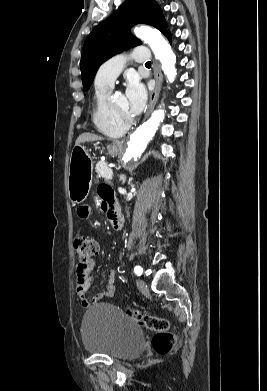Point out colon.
<instances>
[{
  "label": "colon",
  "mask_w": 267,
  "mask_h": 391,
  "mask_svg": "<svg viewBox=\"0 0 267 391\" xmlns=\"http://www.w3.org/2000/svg\"><path fill=\"white\" fill-rule=\"evenodd\" d=\"M74 250L77 255L78 268L87 271L98 254V242L91 237L80 236L74 240ZM127 316L135 320L140 326L153 333L152 345L159 354H167L174 347L177 336L169 330V321L152 314H143L138 310L129 309Z\"/></svg>",
  "instance_id": "1"
}]
</instances>
